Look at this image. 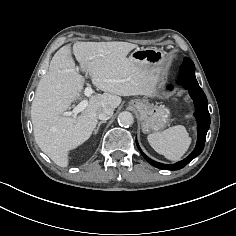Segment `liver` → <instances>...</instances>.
Returning a JSON list of instances; mask_svg holds the SVG:
<instances>
[{"label": "liver", "instance_id": "1", "mask_svg": "<svg viewBox=\"0 0 236 236\" xmlns=\"http://www.w3.org/2000/svg\"><path fill=\"white\" fill-rule=\"evenodd\" d=\"M136 47V44L119 41L74 43L73 53L82 71L90 74L93 84L104 91L102 95L91 96L75 120L65 111L80 96L85 78L75 67L69 45L55 53L48 71L39 81L31 106L35 141L55 164L68 166L69 151L91 137L103 107L117 108L120 96L151 93V82L158 68L149 69L127 58Z\"/></svg>", "mask_w": 236, "mask_h": 236}]
</instances>
